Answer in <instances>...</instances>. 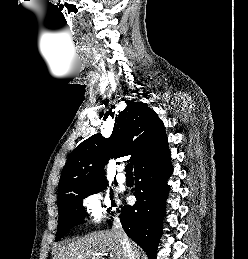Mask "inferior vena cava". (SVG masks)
<instances>
[{
    "label": "inferior vena cava",
    "instance_id": "602c4592",
    "mask_svg": "<svg viewBox=\"0 0 248 259\" xmlns=\"http://www.w3.org/2000/svg\"><path fill=\"white\" fill-rule=\"evenodd\" d=\"M113 231L120 239V243L124 251V259H135V254L133 252L132 245L122 228L119 218H116L113 223Z\"/></svg>",
    "mask_w": 248,
    "mask_h": 259
}]
</instances>
